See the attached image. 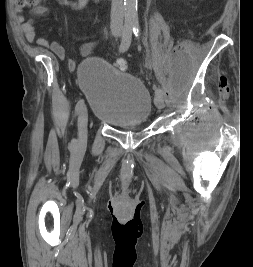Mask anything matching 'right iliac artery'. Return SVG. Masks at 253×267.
<instances>
[{
    "label": "right iliac artery",
    "mask_w": 253,
    "mask_h": 267,
    "mask_svg": "<svg viewBox=\"0 0 253 267\" xmlns=\"http://www.w3.org/2000/svg\"><path fill=\"white\" fill-rule=\"evenodd\" d=\"M132 31L133 30L131 28H129L123 32L122 41H121V44L119 47L120 52H125L129 48V46L131 44V40H132ZM83 108H84V100L80 99L76 104L75 113L78 114ZM75 143H76L75 139H73L72 145L74 146Z\"/></svg>",
    "instance_id": "82829eb1"
}]
</instances>
